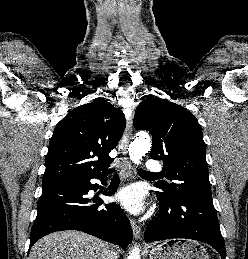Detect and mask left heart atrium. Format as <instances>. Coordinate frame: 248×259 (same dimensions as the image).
<instances>
[{
    "label": "left heart atrium",
    "mask_w": 248,
    "mask_h": 259,
    "mask_svg": "<svg viewBox=\"0 0 248 259\" xmlns=\"http://www.w3.org/2000/svg\"><path fill=\"white\" fill-rule=\"evenodd\" d=\"M115 198L124 208L132 213H139L143 209V198L136 186L131 185L122 188Z\"/></svg>",
    "instance_id": "left-heart-atrium-1"
}]
</instances>
